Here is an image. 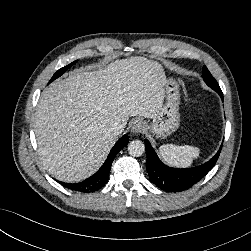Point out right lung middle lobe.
<instances>
[{
	"mask_svg": "<svg viewBox=\"0 0 251 251\" xmlns=\"http://www.w3.org/2000/svg\"><path fill=\"white\" fill-rule=\"evenodd\" d=\"M77 62V60L76 61H74V62H72V63H70V64H68L67 66H65V67H62L61 69H59L54 75H53V77L51 78V80L49 81V83H51L53 80H55L56 78H58V77H60L63 73H65V71L67 70V69H69L73 64H75ZM48 83V84H49Z\"/></svg>",
	"mask_w": 251,
	"mask_h": 251,
	"instance_id": "obj_1",
	"label": "right lung middle lobe"
}]
</instances>
